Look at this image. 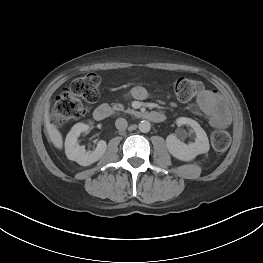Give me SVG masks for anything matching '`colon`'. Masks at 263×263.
<instances>
[{
    "mask_svg": "<svg viewBox=\"0 0 263 263\" xmlns=\"http://www.w3.org/2000/svg\"><path fill=\"white\" fill-rule=\"evenodd\" d=\"M100 79L94 73L75 79L69 88L59 94L54 101L51 121L55 125H64L73 121L84 112L83 102L94 103L99 97ZM202 83L192 78H178L172 84L176 97L188 102L202 91ZM231 142L229 133L223 129L215 130L211 135V143L215 150H226Z\"/></svg>",
    "mask_w": 263,
    "mask_h": 263,
    "instance_id": "1",
    "label": "colon"
}]
</instances>
